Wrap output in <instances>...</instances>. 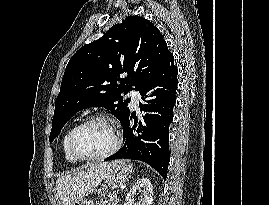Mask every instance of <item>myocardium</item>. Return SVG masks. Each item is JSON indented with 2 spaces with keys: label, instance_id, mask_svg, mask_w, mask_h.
<instances>
[{
  "label": "myocardium",
  "instance_id": "obj_1",
  "mask_svg": "<svg viewBox=\"0 0 269 205\" xmlns=\"http://www.w3.org/2000/svg\"><path fill=\"white\" fill-rule=\"evenodd\" d=\"M96 121L104 122L109 126L113 135V139H114L113 145L109 150H107L106 152L102 154L95 155V156H82L78 153V151L75 148L76 135L81 128H83L89 123L96 122ZM121 144H122V138H121L117 121L105 114H94L85 118L73 128L69 137V151L72 154V156L79 161H96V160L106 159L112 156L113 154H115L120 149Z\"/></svg>",
  "mask_w": 269,
  "mask_h": 205
}]
</instances>
